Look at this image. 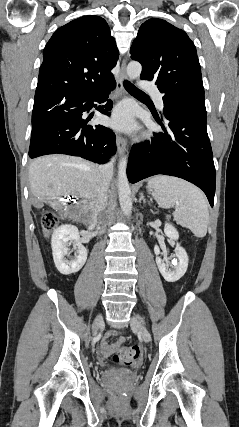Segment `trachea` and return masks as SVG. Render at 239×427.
Listing matches in <instances>:
<instances>
[{"label": "trachea", "mask_w": 239, "mask_h": 427, "mask_svg": "<svg viewBox=\"0 0 239 427\" xmlns=\"http://www.w3.org/2000/svg\"><path fill=\"white\" fill-rule=\"evenodd\" d=\"M124 87L126 88L127 91L143 96V97H147V95L142 92L141 90H139L137 87H135L132 83H130L129 81H124Z\"/></svg>", "instance_id": "3493384b"}]
</instances>
